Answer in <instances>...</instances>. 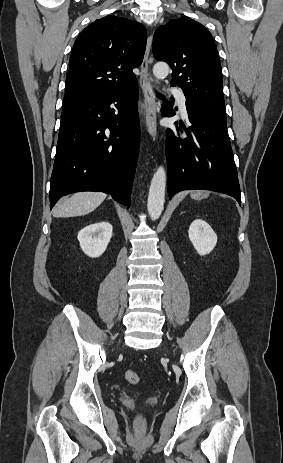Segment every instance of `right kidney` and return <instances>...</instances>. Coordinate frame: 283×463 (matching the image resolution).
Here are the masks:
<instances>
[{
	"label": "right kidney",
	"instance_id": "ca27d5eb",
	"mask_svg": "<svg viewBox=\"0 0 283 463\" xmlns=\"http://www.w3.org/2000/svg\"><path fill=\"white\" fill-rule=\"evenodd\" d=\"M112 225L109 222H99L86 226L78 233L82 251L89 257L101 256L112 237Z\"/></svg>",
	"mask_w": 283,
	"mask_h": 463
}]
</instances>
